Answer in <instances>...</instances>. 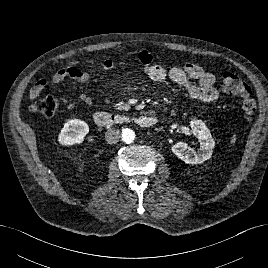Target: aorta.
<instances>
[{"label":"aorta","instance_id":"aorta-1","mask_svg":"<svg viewBox=\"0 0 268 268\" xmlns=\"http://www.w3.org/2000/svg\"><path fill=\"white\" fill-rule=\"evenodd\" d=\"M135 139V132L131 129H124L122 132V140L127 143L130 144L134 141Z\"/></svg>","mask_w":268,"mask_h":268}]
</instances>
